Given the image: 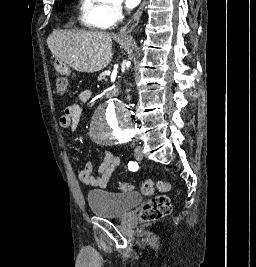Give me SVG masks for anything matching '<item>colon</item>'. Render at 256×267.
<instances>
[{
	"mask_svg": "<svg viewBox=\"0 0 256 267\" xmlns=\"http://www.w3.org/2000/svg\"><path fill=\"white\" fill-rule=\"evenodd\" d=\"M55 85L58 93H66L70 85L69 76H62V74L58 73ZM169 188L170 185L168 183L156 180H145L142 183L141 189L143 194L153 195L157 189L161 192H168L167 190ZM118 189L121 192H131L134 190V185L129 182H122L118 185ZM171 210L172 204L168 197H153L144 205L140 212V217L143 219V224H148L149 221H155L167 216L170 214Z\"/></svg>",
	"mask_w": 256,
	"mask_h": 267,
	"instance_id": "obj_1",
	"label": "colon"
}]
</instances>
